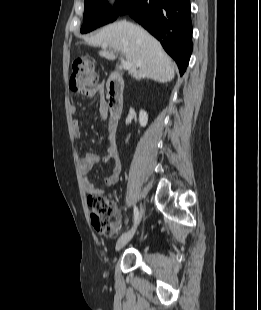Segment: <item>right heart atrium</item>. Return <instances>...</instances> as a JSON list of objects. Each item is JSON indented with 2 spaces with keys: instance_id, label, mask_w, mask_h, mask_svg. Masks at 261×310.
Listing matches in <instances>:
<instances>
[{
  "instance_id": "right-heart-atrium-1",
  "label": "right heart atrium",
  "mask_w": 261,
  "mask_h": 310,
  "mask_svg": "<svg viewBox=\"0 0 261 310\" xmlns=\"http://www.w3.org/2000/svg\"><path fill=\"white\" fill-rule=\"evenodd\" d=\"M109 2L113 7H118L121 5L122 0H109Z\"/></svg>"
}]
</instances>
